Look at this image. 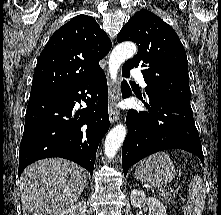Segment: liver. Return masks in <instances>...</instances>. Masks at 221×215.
I'll list each match as a JSON object with an SVG mask.
<instances>
[{
  "label": "liver",
  "instance_id": "obj_1",
  "mask_svg": "<svg viewBox=\"0 0 221 215\" xmlns=\"http://www.w3.org/2000/svg\"><path fill=\"white\" fill-rule=\"evenodd\" d=\"M86 180L84 168L62 158L27 166L20 182L23 215H59L77 202Z\"/></svg>",
  "mask_w": 221,
  "mask_h": 215
}]
</instances>
